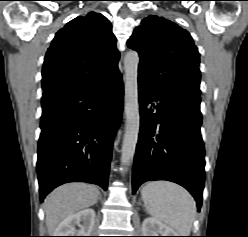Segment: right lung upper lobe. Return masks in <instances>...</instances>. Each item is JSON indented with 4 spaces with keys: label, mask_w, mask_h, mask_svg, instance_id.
<instances>
[{
    "label": "right lung upper lobe",
    "mask_w": 248,
    "mask_h": 237,
    "mask_svg": "<svg viewBox=\"0 0 248 237\" xmlns=\"http://www.w3.org/2000/svg\"><path fill=\"white\" fill-rule=\"evenodd\" d=\"M119 52L108 19L90 12L60 29L42 70V97L79 89L118 71Z\"/></svg>",
    "instance_id": "obj_1"
}]
</instances>
